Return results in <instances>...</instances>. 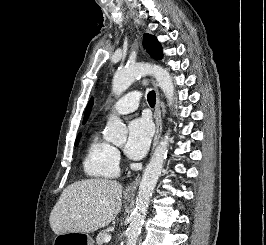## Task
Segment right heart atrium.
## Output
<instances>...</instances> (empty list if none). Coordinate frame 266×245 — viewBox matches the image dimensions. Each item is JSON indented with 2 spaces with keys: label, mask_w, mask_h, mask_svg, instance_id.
<instances>
[{
  "label": "right heart atrium",
  "mask_w": 266,
  "mask_h": 245,
  "mask_svg": "<svg viewBox=\"0 0 266 245\" xmlns=\"http://www.w3.org/2000/svg\"><path fill=\"white\" fill-rule=\"evenodd\" d=\"M115 155H116L117 159L120 158V154H119V152L117 150H115Z\"/></svg>",
  "instance_id": "1"
}]
</instances>
